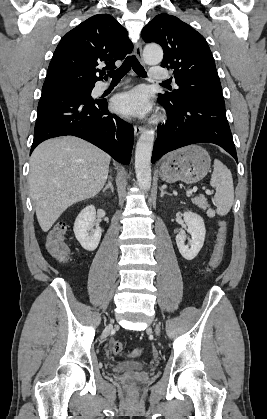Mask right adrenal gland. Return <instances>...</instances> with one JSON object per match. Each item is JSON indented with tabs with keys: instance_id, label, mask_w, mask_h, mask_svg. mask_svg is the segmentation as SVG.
I'll return each instance as SVG.
<instances>
[{
	"instance_id": "1",
	"label": "right adrenal gland",
	"mask_w": 267,
	"mask_h": 419,
	"mask_svg": "<svg viewBox=\"0 0 267 419\" xmlns=\"http://www.w3.org/2000/svg\"><path fill=\"white\" fill-rule=\"evenodd\" d=\"M111 189V191L112 192H114V187H113V185H112V176H109L108 177V184L103 188V192H105L106 190H108V189Z\"/></svg>"
}]
</instances>
